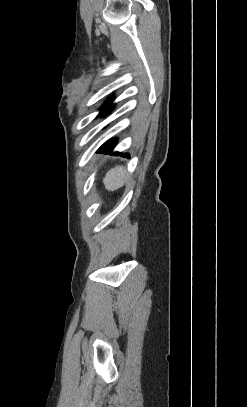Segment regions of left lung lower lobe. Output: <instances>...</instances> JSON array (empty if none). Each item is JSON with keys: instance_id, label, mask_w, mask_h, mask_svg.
<instances>
[{"instance_id": "0a47b994", "label": "left lung lower lobe", "mask_w": 247, "mask_h": 407, "mask_svg": "<svg viewBox=\"0 0 247 407\" xmlns=\"http://www.w3.org/2000/svg\"><path fill=\"white\" fill-rule=\"evenodd\" d=\"M112 109H113V106H109V107L103 112V115L108 114L109 112L112 111ZM115 145H116V140H115V139H113V140H111V141H108V142H106L105 144H103V145L99 148L98 152L110 153V152H112V150H113V148L115 147ZM115 154H119V153H115ZM123 156L129 157L128 154H123Z\"/></svg>"}]
</instances>
